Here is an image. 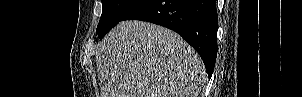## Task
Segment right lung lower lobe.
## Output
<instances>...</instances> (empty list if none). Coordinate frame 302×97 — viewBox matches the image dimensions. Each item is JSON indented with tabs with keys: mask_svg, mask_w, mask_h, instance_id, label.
Listing matches in <instances>:
<instances>
[{
	"mask_svg": "<svg viewBox=\"0 0 302 97\" xmlns=\"http://www.w3.org/2000/svg\"><path fill=\"white\" fill-rule=\"evenodd\" d=\"M122 20L147 21L174 30L198 52L212 76L218 49L216 0H142Z\"/></svg>",
	"mask_w": 302,
	"mask_h": 97,
	"instance_id": "right-lung-lower-lobe-1",
	"label": "right lung lower lobe"
}]
</instances>
